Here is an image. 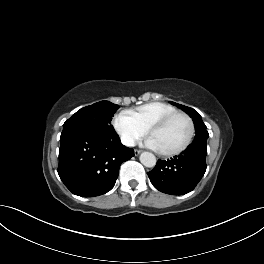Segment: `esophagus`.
<instances>
[{"mask_svg":"<svg viewBox=\"0 0 264 264\" xmlns=\"http://www.w3.org/2000/svg\"><path fill=\"white\" fill-rule=\"evenodd\" d=\"M140 153H141V150H137V149L134 150L135 156H138Z\"/></svg>","mask_w":264,"mask_h":264,"instance_id":"1","label":"esophagus"}]
</instances>
